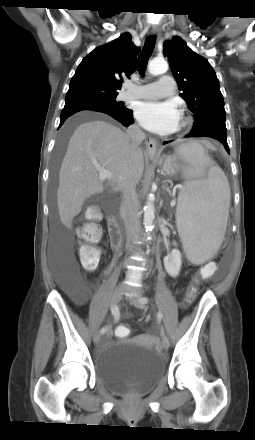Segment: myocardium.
I'll list each match as a JSON object with an SVG mask.
<instances>
[{
  "instance_id": "obj_1",
  "label": "myocardium",
  "mask_w": 255,
  "mask_h": 440,
  "mask_svg": "<svg viewBox=\"0 0 255 440\" xmlns=\"http://www.w3.org/2000/svg\"><path fill=\"white\" fill-rule=\"evenodd\" d=\"M189 126H190V121H189L187 118H184V117H183V118L181 119L180 124H179V128H178V130H179V131L186 130Z\"/></svg>"
}]
</instances>
